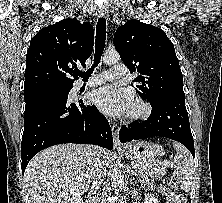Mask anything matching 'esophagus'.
<instances>
[{
	"instance_id": "esophagus-1",
	"label": "esophagus",
	"mask_w": 222,
	"mask_h": 203,
	"mask_svg": "<svg viewBox=\"0 0 222 203\" xmlns=\"http://www.w3.org/2000/svg\"><path fill=\"white\" fill-rule=\"evenodd\" d=\"M107 9L105 7H102L98 11L99 17H106L107 16ZM110 126L113 134V140H114V147H117L119 145V139H118V126L115 122L110 121Z\"/></svg>"
}]
</instances>
